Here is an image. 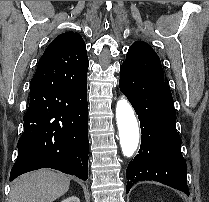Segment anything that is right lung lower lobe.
<instances>
[{
  "label": "right lung lower lobe",
  "instance_id": "1",
  "mask_svg": "<svg viewBox=\"0 0 209 202\" xmlns=\"http://www.w3.org/2000/svg\"><path fill=\"white\" fill-rule=\"evenodd\" d=\"M40 59L30 82V103L10 181L41 168L87 180L88 122L86 79L75 82Z\"/></svg>",
  "mask_w": 209,
  "mask_h": 202
}]
</instances>
